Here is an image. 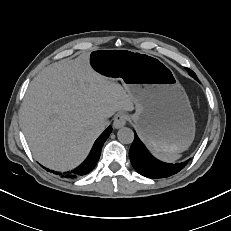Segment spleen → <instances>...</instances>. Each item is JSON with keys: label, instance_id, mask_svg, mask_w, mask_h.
Listing matches in <instances>:
<instances>
[{"label": "spleen", "instance_id": "spleen-1", "mask_svg": "<svg viewBox=\"0 0 231 231\" xmlns=\"http://www.w3.org/2000/svg\"><path fill=\"white\" fill-rule=\"evenodd\" d=\"M156 156L166 162H175L180 158L178 154L156 153Z\"/></svg>", "mask_w": 231, "mask_h": 231}]
</instances>
